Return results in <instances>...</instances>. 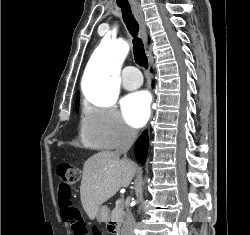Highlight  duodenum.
<instances>
[{
	"label": "duodenum",
	"mask_w": 250,
	"mask_h": 235,
	"mask_svg": "<svg viewBox=\"0 0 250 235\" xmlns=\"http://www.w3.org/2000/svg\"><path fill=\"white\" fill-rule=\"evenodd\" d=\"M110 234L111 235H119V231L117 230V228L115 227V225H112L110 228Z\"/></svg>",
	"instance_id": "410a0bca"
}]
</instances>
